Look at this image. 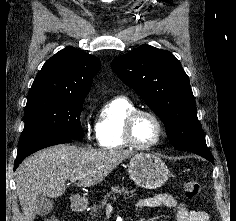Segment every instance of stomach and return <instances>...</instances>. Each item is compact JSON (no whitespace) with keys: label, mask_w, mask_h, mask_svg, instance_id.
Segmentation results:
<instances>
[{"label":"stomach","mask_w":236,"mask_h":221,"mask_svg":"<svg viewBox=\"0 0 236 221\" xmlns=\"http://www.w3.org/2000/svg\"><path fill=\"white\" fill-rule=\"evenodd\" d=\"M128 174L138 186L157 189L168 180L170 170L158 156L150 153H138L129 162ZM74 199L81 200L80 197H74Z\"/></svg>","instance_id":"stomach-1"}]
</instances>
